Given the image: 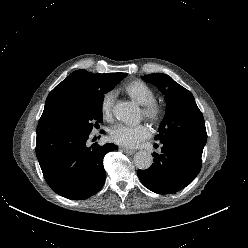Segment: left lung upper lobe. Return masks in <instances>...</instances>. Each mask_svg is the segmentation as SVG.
I'll list each match as a JSON object with an SVG mask.
<instances>
[{
    "label": "left lung upper lobe",
    "mask_w": 248,
    "mask_h": 248,
    "mask_svg": "<svg viewBox=\"0 0 248 248\" xmlns=\"http://www.w3.org/2000/svg\"><path fill=\"white\" fill-rule=\"evenodd\" d=\"M142 79L157 86L165 95L166 113L156 139L161 143L180 142L202 153L207 133L203 115L192 93L163 73L145 75Z\"/></svg>",
    "instance_id": "5c2ea615"
}]
</instances>
